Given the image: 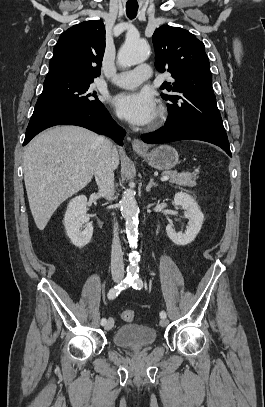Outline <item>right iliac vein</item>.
<instances>
[{
  "label": "right iliac vein",
  "instance_id": "63e3f726",
  "mask_svg": "<svg viewBox=\"0 0 265 407\" xmlns=\"http://www.w3.org/2000/svg\"><path fill=\"white\" fill-rule=\"evenodd\" d=\"M114 280H115V282H119V281H120L119 278H115ZM113 325H114L113 319H112V318H109V319L107 320L105 326H104V329H105V330H111L112 327H113Z\"/></svg>",
  "mask_w": 265,
  "mask_h": 407
}]
</instances>
